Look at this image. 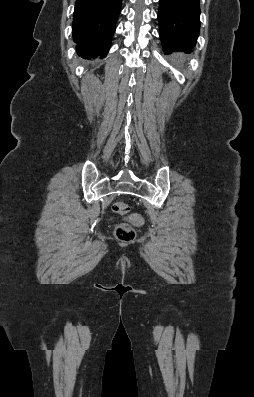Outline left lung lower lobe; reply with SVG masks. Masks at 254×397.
Instances as JSON below:
<instances>
[{
    "label": "left lung lower lobe",
    "instance_id": "left-lung-lower-lobe-1",
    "mask_svg": "<svg viewBox=\"0 0 254 397\" xmlns=\"http://www.w3.org/2000/svg\"><path fill=\"white\" fill-rule=\"evenodd\" d=\"M199 0H159V34L165 53L190 52L200 29Z\"/></svg>",
    "mask_w": 254,
    "mask_h": 397
}]
</instances>
